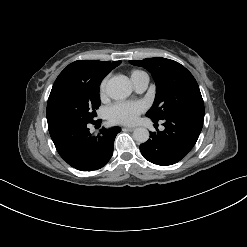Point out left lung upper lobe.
<instances>
[{
  "label": "left lung upper lobe",
  "mask_w": 247,
  "mask_h": 247,
  "mask_svg": "<svg viewBox=\"0 0 247 247\" xmlns=\"http://www.w3.org/2000/svg\"><path fill=\"white\" fill-rule=\"evenodd\" d=\"M151 72L157 86L156 98L146 116L154 122L178 114L204 117V102L192 74L180 63L166 58L130 61Z\"/></svg>",
  "instance_id": "left-lung-upper-lobe-1"
}]
</instances>
